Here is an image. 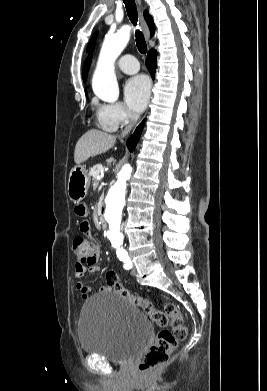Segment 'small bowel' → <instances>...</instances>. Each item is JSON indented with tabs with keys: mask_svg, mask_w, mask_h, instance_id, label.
<instances>
[{
	"mask_svg": "<svg viewBox=\"0 0 267 391\" xmlns=\"http://www.w3.org/2000/svg\"><path fill=\"white\" fill-rule=\"evenodd\" d=\"M75 213L79 217L85 218L87 215V208L85 204L79 203L75 207ZM80 230L86 236L88 237L91 236V227L87 220L84 219L81 221ZM98 270H99V266L96 263L89 266H79L77 264L75 265V277L77 279L76 286L83 299H88L90 294V288L85 284L86 275L90 273H95ZM107 289H108L107 287L102 286L99 291L105 292Z\"/></svg>",
	"mask_w": 267,
	"mask_h": 391,
	"instance_id": "c3829d8e",
	"label": "small bowel"
}]
</instances>
